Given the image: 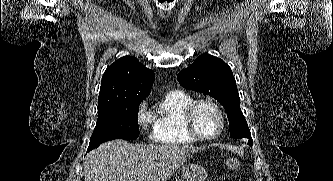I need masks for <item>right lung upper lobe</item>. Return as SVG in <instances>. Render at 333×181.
Masks as SVG:
<instances>
[{"mask_svg":"<svg viewBox=\"0 0 333 181\" xmlns=\"http://www.w3.org/2000/svg\"><path fill=\"white\" fill-rule=\"evenodd\" d=\"M153 82V71L135 57H122L103 74L98 109L142 101L150 94Z\"/></svg>","mask_w":333,"mask_h":181,"instance_id":"cb5924a9","label":"right lung upper lobe"}]
</instances>
